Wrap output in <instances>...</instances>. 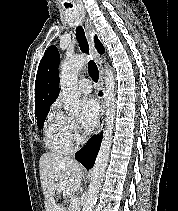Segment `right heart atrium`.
<instances>
[{
	"mask_svg": "<svg viewBox=\"0 0 178 211\" xmlns=\"http://www.w3.org/2000/svg\"><path fill=\"white\" fill-rule=\"evenodd\" d=\"M63 133L71 145L79 144L84 140V135L81 133L76 121L70 117L62 116Z\"/></svg>",
	"mask_w": 178,
	"mask_h": 211,
	"instance_id": "1",
	"label": "right heart atrium"
}]
</instances>
